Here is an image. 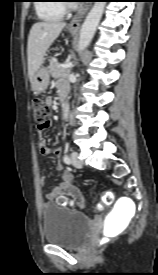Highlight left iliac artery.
Wrapping results in <instances>:
<instances>
[{"mask_svg": "<svg viewBox=\"0 0 158 275\" xmlns=\"http://www.w3.org/2000/svg\"><path fill=\"white\" fill-rule=\"evenodd\" d=\"M64 162H65L66 164H70V163H71V159H70V157H69L68 155H65V156H64Z\"/></svg>", "mask_w": 158, "mask_h": 275, "instance_id": "44dca946", "label": "left iliac artery"}]
</instances>
